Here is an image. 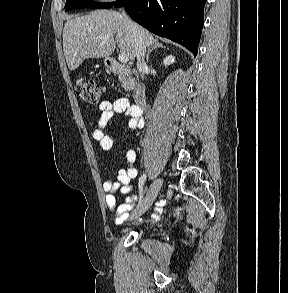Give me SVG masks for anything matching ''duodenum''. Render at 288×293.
<instances>
[{
    "label": "duodenum",
    "instance_id": "1",
    "mask_svg": "<svg viewBox=\"0 0 288 293\" xmlns=\"http://www.w3.org/2000/svg\"><path fill=\"white\" fill-rule=\"evenodd\" d=\"M107 65L112 73L122 75L124 80L129 83L134 92L135 105L142 110L147 102V94L144 85L141 82L132 79L130 69L116 59L109 58Z\"/></svg>",
    "mask_w": 288,
    "mask_h": 293
}]
</instances>
